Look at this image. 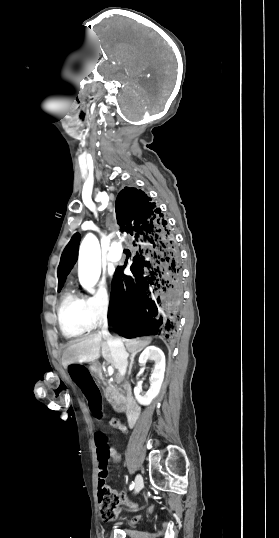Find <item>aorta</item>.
I'll return each instance as SVG.
<instances>
[{
	"instance_id": "obj_1",
	"label": "aorta",
	"mask_w": 279,
	"mask_h": 538,
	"mask_svg": "<svg viewBox=\"0 0 279 538\" xmlns=\"http://www.w3.org/2000/svg\"><path fill=\"white\" fill-rule=\"evenodd\" d=\"M101 273L100 244L91 233L83 239L78 256V276L81 286L89 293H94V286Z\"/></svg>"
}]
</instances>
